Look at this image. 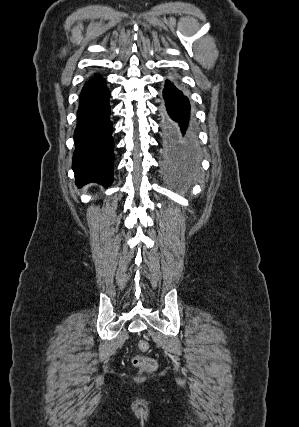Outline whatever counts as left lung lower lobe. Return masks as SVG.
Here are the masks:
<instances>
[{
	"label": "left lung lower lobe",
	"mask_w": 299,
	"mask_h": 427,
	"mask_svg": "<svg viewBox=\"0 0 299 427\" xmlns=\"http://www.w3.org/2000/svg\"><path fill=\"white\" fill-rule=\"evenodd\" d=\"M165 105L161 108L162 147L169 158L192 155L197 149L194 131L190 126V103L174 83L165 81Z\"/></svg>",
	"instance_id": "left-lung-lower-lobe-1"
}]
</instances>
